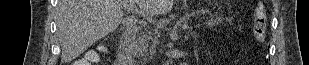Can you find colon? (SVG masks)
Masks as SVG:
<instances>
[{
  "mask_svg": "<svg viewBox=\"0 0 309 65\" xmlns=\"http://www.w3.org/2000/svg\"><path fill=\"white\" fill-rule=\"evenodd\" d=\"M266 23H267V14L263 6L258 5L255 9L254 14V38L258 43H263L266 39ZM95 52L88 51L83 60L76 61L74 65H89V63H81L84 60L94 58Z\"/></svg>",
  "mask_w": 309,
  "mask_h": 65,
  "instance_id": "obj_1",
  "label": "colon"
}]
</instances>
